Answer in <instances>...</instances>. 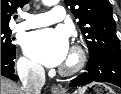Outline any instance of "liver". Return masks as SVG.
Here are the masks:
<instances>
[{
  "label": "liver",
  "mask_w": 121,
  "mask_h": 94,
  "mask_svg": "<svg viewBox=\"0 0 121 94\" xmlns=\"http://www.w3.org/2000/svg\"><path fill=\"white\" fill-rule=\"evenodd\" d=\"M1 94H21V89L15 82L1 76Z\"/></svg>",
  "instance_id": "6515ba94"
}]
</instances>
